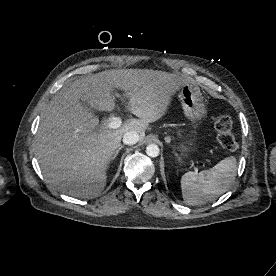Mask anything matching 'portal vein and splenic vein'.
<instances>
[{"label":"portal vein and splenic vein","instance_id":"1","mask_svg":"<svg viewBox=\"0 0 276 276\" xmlns=\"http://www.w3.org/2000/svg\"><path fill=\"white\" fill-rule=\"evenodd\" d=\"M122 124L120 117H113L105 126V128L116 129L119 128Z\"/></svg>","mask_w":276,"mask_h":276}]
</instances>
